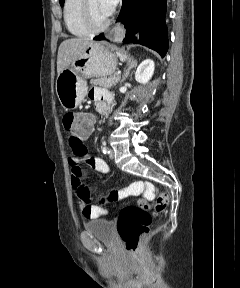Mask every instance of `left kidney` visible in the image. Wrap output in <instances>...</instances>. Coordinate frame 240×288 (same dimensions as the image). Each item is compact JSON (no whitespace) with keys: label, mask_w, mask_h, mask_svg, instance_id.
<instances>
[{"label":"left kidney","mask_w":240,"mask_h":288,"mask_svg":"<svg viewBox=\"0 0 240 288\" xmlns=\"http://www.w3.org/2000/svg\"><path fill=\"white\" fill-rule=\"evenodd\" d=\"M154 68L155 65L153 60H144L142 63H140L135 72L136 81L142 84H147L153 76Z\"/></svg>","instance_id":"5707ae66"}]
</instances>
